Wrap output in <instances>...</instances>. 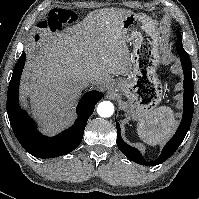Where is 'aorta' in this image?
Masks as SVG:
<instances>
[{
  "instance_id": "aorta-1",
  "label": "aorta",
  "mask_w": 199,
  "mask_h": 199,
  "mask_svg": "<svg viewBox=\"0 0 199 199\" xmlns=\"http://www.w3.org/2000/svg\"><path fill=\"white\" fill-rule=\"evenodd\" d=\"M114 106L110 101H103L97 107V113L101 117H110L113 115Z\"/></svg>"
}]
</instances>
